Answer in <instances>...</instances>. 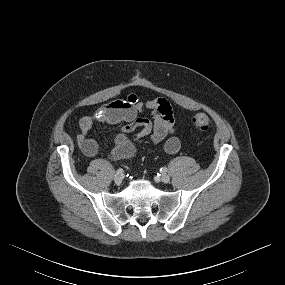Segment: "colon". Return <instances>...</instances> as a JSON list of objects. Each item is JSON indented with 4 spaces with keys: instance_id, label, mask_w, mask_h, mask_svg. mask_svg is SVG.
<instances>
[{
    "instance_id": "colon-1",
    "label": "colon",
    "mask_w": 285,
    "mask_h": 285,
    "mask_svg": "<svg viewBox=\"0 0 285 285\" xmlns=\"http://www.w3.org/2000/svg\"><path fill=\"white\" fill-rule=\"evenodd\" d=\"M194 128L200 131H206L209 127V118L204 113H197L191 119Z\"/></svg>"
}]
</instances>
